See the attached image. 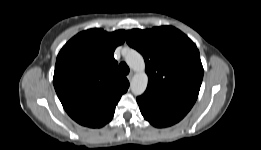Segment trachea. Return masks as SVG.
Instances as JSON below:
<instances>
[{"label": "trachea", "mask_w": 261, "mask_h": 150, "mask_svg": "<svg viewBox=\"0 0 261 150\" xmlns=\"http://www.w3.org/2000/svg\"><path fill=\"white\" fill-rule=\"evenodd\" d=\"M119 69L121 71V73L127 75L130 71L129 67L127 66V64L125 62H121L119 65Z\"/></svg>", "instance_id": "obj_1"}]
</instances>
